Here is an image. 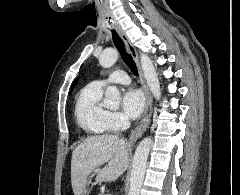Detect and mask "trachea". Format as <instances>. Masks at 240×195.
Here are the masks:
<instances>
[{
  "label": "trachea",
  "instance_id": "trachea-1",
  "mask_svg": "<svg viewBox=\"0 0 240 195\" xmlns=\"http://www.w3.org/2000/svg\"><path fill=\"white\" fill-rule=\"evenodd\" d=\"M112 39H113V43H114L115 47L119 51L124 63L127 65V67L130 68L131 72L137 76L138 70H137L136 63L134 62L130 53H128L126 51L123 40L119 37L118 33L115 32V30H112Z\"/></svg>",
  "mask_w": 240,
  "mask_h": 195
}]
</instances>
